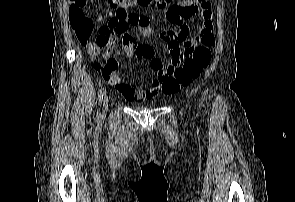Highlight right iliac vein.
Here are the masks:
<instances>
[{"label": "right iliac vein", "instance_id": "63e3f726", "mask_svg": "<svg viewBox=\"0 0 295 202\" xmlns=\"http://www.w3.org/2000/svg\"><path fill=\"white\" fill-rule=\"evenodd\" d=\"M108 108V96H105L103 99V110L106 111Z\"/></svg>", "mask_w": 295, "mask_h": 202}]
</instances>
